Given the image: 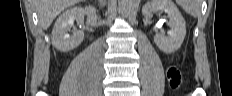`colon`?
<instances>
[{"label":"colon","mask_w":232,"mask_h":96,"mask_svg":"<svg viewBox=\"0 0 232 96\" xmlns=\"http://www.w3.org/2000/svg\"><path fill=\"white\" fill-rule=\"evenodd\" d=\"M167 75L171 81L172 87L177 88L180 86L181 73L177 67H175V66L170 67L167 71Z\"/></svg>","instance_id":"colon-1"}]
</instances>
